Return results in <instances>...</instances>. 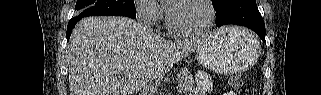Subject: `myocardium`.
<instances>
[{"label": "myocardium", "instance_id": "myocardium-1", "mask_svg": "<svg viewBox=\"0 0 321 95\" xmlns=\"http://www.w3.org/2000/svg\"><path fill=\"white\" fill-rule=\"evenodd\" d=\"M186 1H193V0H175V1H172V3L167 6L166 27L168 31L171 32L173 35L180 36V37H195V36L203 35L208 31V29L212 26V24L215 21L216 13H215L213 3L211 0H195V1L202 2L206 6L208 11V20L201 29L194 30V31H187V30H180L176 28L173 25L172 18H171V8L176 4L186 2Z\"/></svg>", "mask_w": 321, "mask_h": 95}]
</instances>
